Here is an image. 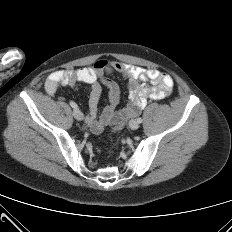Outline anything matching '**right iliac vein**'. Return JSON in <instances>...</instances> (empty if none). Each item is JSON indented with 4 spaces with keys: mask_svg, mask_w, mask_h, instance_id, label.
<instances>
[{
    "mask_svg": "<svg viewBox=\"0 0 232 232\" xmlns=\"http://www.w3.org/2000/svg\"><path fill=\"white\" fill-rule=\"evenodd\" d=\"M73 116L76 120L81 121L84 118L83 113L79 109H74Z\"/></svg>",
    "mask_w": 232,
    "mask_h": 232,
    "instance_id": "right-iliac-vein-1",
    "label": "right iliac vein"
}]
</instances>
